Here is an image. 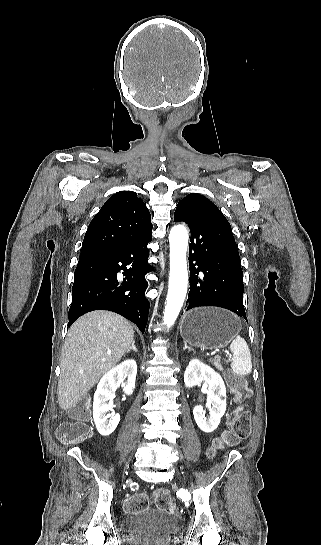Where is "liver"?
I'll use <instances>...</instances> for the list:
<instances>
[{
    "instance_id": "6515ba94",
    "label": "liver",
    "mask_w": 321,
    "mask_h": 545,
    "mask_svg": "<svg viewBox=\"0 0 321 545\" xmlns=\"http://www.w3.org/2000/svg\"><path fill=\"white\" fill-rule=\"evenodd\" d=\"M135 331L109 311H93L70 327L62 349L58 383L61 409H73L129 349ZM105 359V361H103Z\"/></svg>"
}]
</instances>
